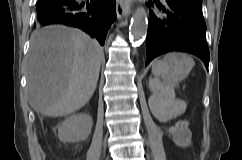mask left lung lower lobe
Returning <instances> with one entry per match:
<instances>
[{"label": "left lung lower lobe", "instance_id": "0a47b994", "mask_svg": "<svg viewBox=\"0 0 242 160\" xmlns=\"http://www.w3.org/2000/svg\"><path fill=\"white\" fill-rule=\"evenodd\" d=\"M156 6L155 10L151 6ZM146 65L156 56L183 51L198 56L208 69L209 49L202 4L193 0H149Z\"/></svg>", "mask_w": 242, "mask_h": 160}]
</instances>
